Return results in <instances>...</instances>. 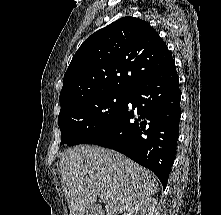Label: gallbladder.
I'll list each match as a JSON object with an SVG mask.
<instances>
[{"label":"gallbladder","mask_w":221,"mask_h":215,"mask_svg":"<svg viewBox=\"0 0 221 215\" xmlns=\"http://www.w3.org/2000/svg\"><path fill=\"white\" fill-rule=\"evenodd\" d=\"M103 209L98 205H90L85 209V215H104Z\"/></svg>","instance_id":"obj_1"}]
</instances>
